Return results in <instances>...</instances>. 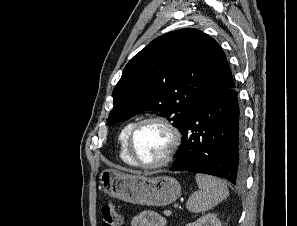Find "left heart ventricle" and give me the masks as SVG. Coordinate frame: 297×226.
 Wrapping results in <instances>:
<instances>
[{
    "instance_id": "left-heart-ventricle-1",
    "label": "left heart ventricle",
    "mask_w": 297,
    "mask_h": 226,
    "mask_svg": "<svg viewBox=\"0 0 297 226\" xmlns=\"http://www.w3.org/2000/svg\"><path fill=\"white\" fill-rule=\"evenodd\" d=\"M169 132L158 123L142 125L136 132L133 149L144 163H154L164 157L170 144Z\"/></svg>"
}]
</instances>
